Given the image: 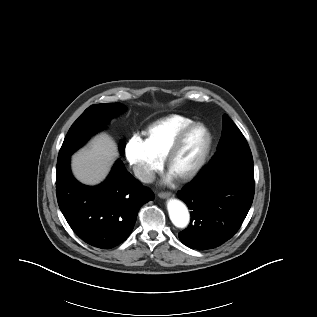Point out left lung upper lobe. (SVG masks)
Returning a JSON list of instances; mask_svg holds the SVG:
<instances>
[{"mask_svg": "<svg viewBox=\"0 0 317 317\" xmlns=\"http://www.w3.org/2000/svg\"><path fill=\"white\" fill-rule=\"evenodd\" d=\"M229 159H241L253 163L252 154L245 137L230 117L224 114L221 139L211 163L218 166Z\"/></svg>", "mask_w": 317, "mask_h": 317, "instance_id": "left-lung-upper-lobe-1", "label": "left lung upper lobe"}]
</instances>
